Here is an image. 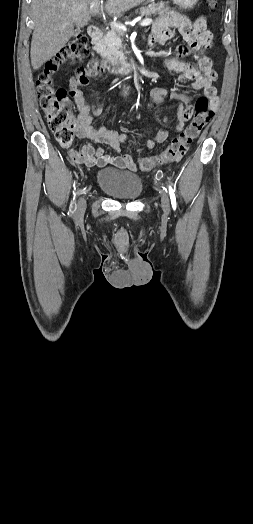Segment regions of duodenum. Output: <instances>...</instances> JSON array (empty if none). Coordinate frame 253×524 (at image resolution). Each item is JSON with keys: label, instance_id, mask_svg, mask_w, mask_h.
<instances>
[{"label": "duodenum", "instance_id": "1", "mask_svg": "<svg viewBox=\"0 0 253 524\" xmlns=\"http://www.w3.org/2000/svg\"><path fill=\"white\" fill-rule=\"evenodd\" d=\"M88 33L92 40L96 43L100 38L101 31L98 27L91 26L88 30ZM99 62L105 71L114 74L135 73L137 69L135 63L129 62L125 59L101 58Z\"/></svg>", "mask_w": 253, "mask_h": 524}]
</instances>
